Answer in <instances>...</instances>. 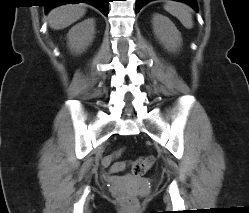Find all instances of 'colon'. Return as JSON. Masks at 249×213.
Returning <instances> with one entry per match:
<instances>
[{"label": "colon", "mask_w": 249, "mask_h": 213, "mask_svg": "<svg viewBox=\"0 0 249 213\" xmlns=\"http://www.w3.org/2000/svg\"><path fill=\"white\" fill-rule=\"evenodd\" d=\"M121 150H118L103 159V165L109 168L111 173H117L125 169L126 162H116V158L120 155ZM154 158L152 156L140 157L131 163V171L135 176L143 175L148 169L152 167ZM136 189L129 188L120 195V200L125 204H133L136 201Z\"/></svg>", "instance_id": "1"}]
</instances>
